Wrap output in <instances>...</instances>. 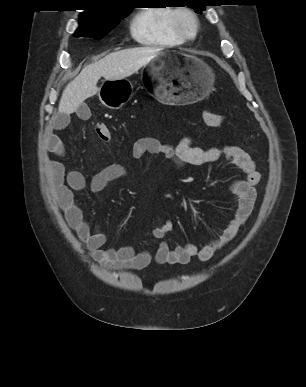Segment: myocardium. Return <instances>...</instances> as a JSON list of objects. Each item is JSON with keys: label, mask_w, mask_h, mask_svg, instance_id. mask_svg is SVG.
Here are the masks:
<instances>
[{"label": "myocardium", "mask_w": 306, "mask_h": 387, "mask_svg": "<svg viewBox=\"0 0 306 387\" xmlns=\"http://www.w3.org/2000/svg\"><path fill=\"white\" fill-rule=\"evenodd\" d=\"M188 17L193 23V28L189 31L184 25V18ZM172 25L175 32L184 40H194L200 30V20L197 13L188 7L177 8L172 18Z\"/></svg>", "instance_id": "f54148a6"}]
</instances>
